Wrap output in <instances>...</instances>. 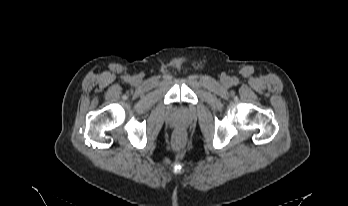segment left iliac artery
I'll return each instance as SVG.
<instances>
[{
	"label": "left iliac artery",
	"mask_w": 348,
	"mask_h": 206,
	"mask_svg": "<svg viewBox=\"0 0 348 206\" xmlns=\"http://www.w3.org/2000/svg\"><path fill=\"white\" fill-rule=\"evenodd\" d=\"M232 82H233L234 85L238 84V78L234 77V78L232 79Z\"/></svg>",
	"instance_id": "left-iliac-artery-1"
}]
</instances>
